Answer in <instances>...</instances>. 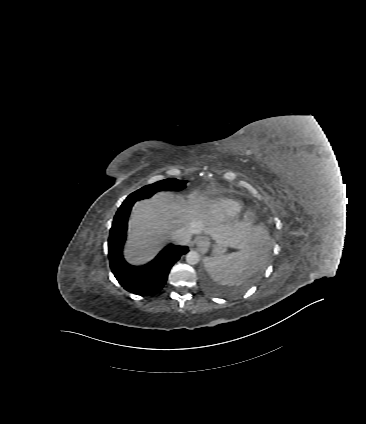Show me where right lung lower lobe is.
<instances>
[{"label": "right lung lower lobe", "instance_id": "1", "mask_svg": "<svg viewBox=\"0 0 366 424\" xmlns=\"http://www.w3.org/2000/svg\"><path fill=\"white\" fill-rule=\"evenodd\" d=\"M134 202L118 209L108 239V257L111 270L127 291L139 295L157 293L166 283L173 264L188 252L186 246L168 245L150 263L136 267L128 264L122 254L126 240L127 221Z\"/></svg>", "mask_w": 366, "mask_h": 424}]
</instances>
